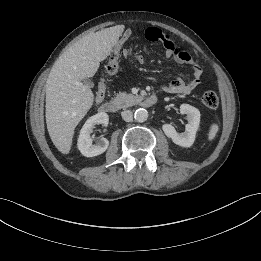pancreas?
I'll return each mask as SVG.
<instances>
[{
  "label": "pancreas",
  "mask_w": 261,
  "mask_h": 261,
  "mask_svg": "<svg viewBox=\"0 0 261 261\" xmlns=\"http://www.w3.org/2000/svg\"><path fill=\"white\" fill-rule=\"evenodd\" d=\"M140 99L141 98L139 96H135L131 93L120 92L114 97L113 102L119 108L124 109V108L135 105Z\"/></svg>",
  "instance_id": "pancreas-1"
}]
</instances>
